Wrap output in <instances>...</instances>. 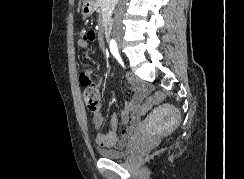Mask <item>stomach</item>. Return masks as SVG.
<instances>
[{"label": "stomach", "instance_id": "stomach-1", "mask_svg": "<svg viewBox=\"0 0 244 179\" xmlns=\"http://www.w3.org/2000/svg\"><path fill=\"white\" fill-rule=\"evenodd\" d=\"M94 2L95 0H85L82 6V14L85 18H89V16L95 12Z\"/></svg>", "mask_w": 244, "mask_h": 179}]
</instances>
